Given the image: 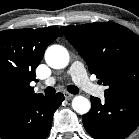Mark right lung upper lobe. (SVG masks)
<instances>
[{"label": "right lung upper lobe", "instance_id": "cb5924a9", "mask_svg": "<svg viewBox=\"0 0 139 139\" xmlns=\"http://www.w3.org/2000/svg\"><path fill=\"white\" fill-rule=\"evenodd\" d=\"M58 36L62 33L52 26L0 32V91L8 101L6 109L43 96L34 92L30 82L37 81L35 68Z\"/></svg>", "mask_w": 139, "mask_h": 139}]
</instances>
